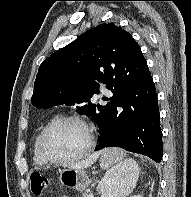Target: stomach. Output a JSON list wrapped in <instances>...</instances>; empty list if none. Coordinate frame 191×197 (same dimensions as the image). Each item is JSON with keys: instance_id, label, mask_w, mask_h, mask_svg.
Listing matches in <instances>:
<instances>
[{"instance_id": "obj_1", "label": "stomach", "mask_w": 191, "mask_h": 197, "mask_svg": "<svg viewBox=\"0 0 191 197\" xmlns=\"http://www.w3.org/2000/svg\"><path fill=\"white\" fill-rule=\"evenodd\" d=\"M121 156L112 152L110 149L103 151L99 163L103 169H111L120 160ZM59 181L65 187L75 189L77 191H84L88 187L90 180L84 169L66 168L60 171Z\"/></svg>"}]
</instances>
